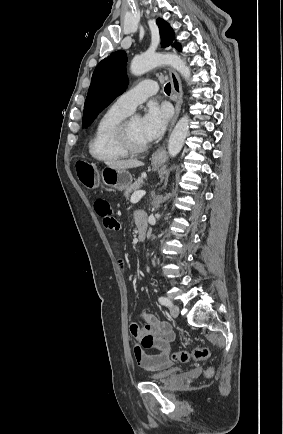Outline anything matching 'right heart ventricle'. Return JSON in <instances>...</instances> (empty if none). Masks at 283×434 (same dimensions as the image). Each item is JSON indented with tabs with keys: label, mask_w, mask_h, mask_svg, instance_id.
Masks as SVG:
<instances>
[{
	"label": "right heart ventricle",
	"mask_w": 283,
	"mask_h": 434,
	"mask_svg": "<svg viewBox=\"0 0 283 434\" xmlns=\"http://www.w3.org/2000/svg\"><path fill=\"white\" fill-rule=\"evenodd\" d=\"M129 114L130 112L113 105L99 118L88 146L89 153L95 160L109 163L129 155L116 137L118 126Z\"/></svg>",
	"instance_id": "1"
}]
</instances>
